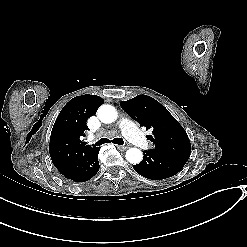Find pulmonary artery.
<instances>
[{
	"instance_id": "1",
	"label": "pulmonary artery",
	"mask_w": 247,
	"mask_h": 247,
	"mask_svg": "<svg viewBox=\"0 0 247 247\" xmlns=\"http://www.w3.org/2000/svg\"><path fill=\"white\" fill-rule=\"evenodd\" d=\"M117 126L125 139L131 144L140 146L144 149L155 148L154 143L146 140L145 133L140 129L139 124L126 115H119Z\"/></svg>"
}]
</instances>
